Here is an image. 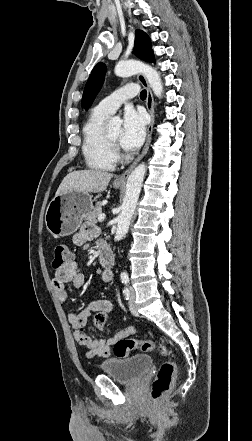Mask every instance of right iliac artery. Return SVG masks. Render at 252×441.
I'll return each instance as SVG.
<instances>
[{"instance_id":"82829eb1","label":"right iliac artery","mask_w":252,"mask_h":441,"mask_svg":"<svg viewBox=\"0 0 252 441\" xmlns=\"http://www.w3.org/2000/svg\"><path fill=\"white\" fill-rule=\"evenodd\" d=\"M124 293H125V295H126V299L128 300V299H129V295H130L129 290L126 288V289L124 290Z\"/></svg>"}]
</instances>
